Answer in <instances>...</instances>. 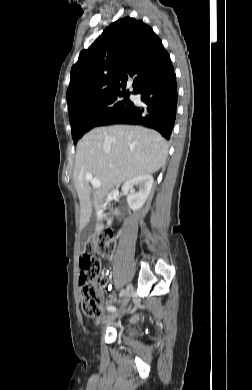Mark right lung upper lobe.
Segmentation results:
<instances>
[{"label":"right lung upper lobe","instance_id":"cb5924a9","mask_svg":"<svg viewBox=\"0 0 252 390\" xmlns=\"http://www.w3.org/2000/svg\"><path fill=\"white\" fill-rule=\"evenodd\" d=\"M174 72L168 52L150 26L126 17L112 23L95 42L81 51L70 73L68 110L125 90L133 93L146 82Z\"/></svg>","mask_w":252,"mask_h":390}]
</instances>
